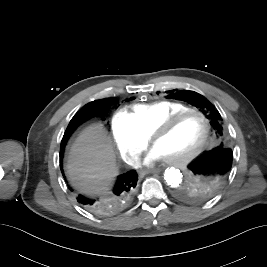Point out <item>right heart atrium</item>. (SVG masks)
I'll use <instances>...</instances> for the list:
<instances>
[{"label":"right heart atrium","instance_id":"1","mask_svg":"<svg viewBox=\"0 0 267 267\" xmlns=\"http://www.w3.org/2000/svg\"><path fill=\"white\" fill-rule=\"evenodd\" d=\"M111 132L123 160L130 165L136 164L146 147L147 139L137 131L125 112L113 114Z\"/></svg>","mask_w":267,"mask_h":267}]
</instances>
